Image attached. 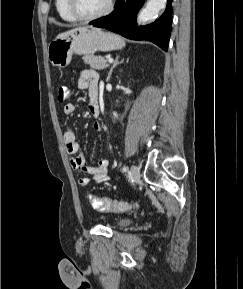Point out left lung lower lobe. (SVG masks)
Returning <instances> with one entry per match:
<instances>
[{
	"instance_id": "1",
	"label": "left lung lower lobe",
	"mask_w": 243,
	"mask_h": 289,
	"mask_svg": "<svg viewBox=\"0 0 243 289\" xmlns=\"http://www.w3.org/2000/svg\"><path fill=\"white\" fill-rule=\"evenodd\" d=\"M172 0H168L165 12L154 23L136 27V17L144 0H116L114 11L90 24L106 28L131 40H147L163 50H168L172 26Z\"/></svg>"
}]
</instances>
